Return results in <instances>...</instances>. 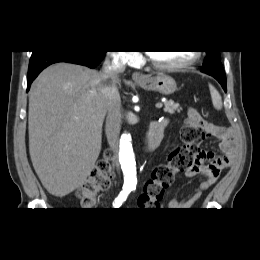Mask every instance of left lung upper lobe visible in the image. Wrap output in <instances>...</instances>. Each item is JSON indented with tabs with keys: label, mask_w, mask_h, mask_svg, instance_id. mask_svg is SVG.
<instances>
[{
	"label": "left lung upper lobe",
	"mask_w": 260,
	"mask_h": 260,
	"mask_svg": "<svg viewBox=\"0 0 260 260\" xmlns=\"http://www.w3.org/2000/svg\"><path fill=\"white\" fill-rule=\"evenodd\" d=\"M218 65L222 66L220 60V51H206V58L203 62V66Z\"/></svg>",
	"instance_id": "5c2ea615"
}]
</instances>
